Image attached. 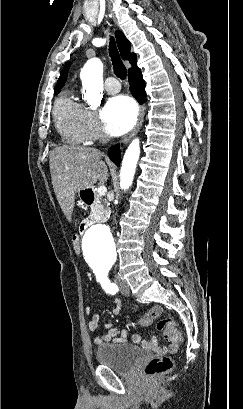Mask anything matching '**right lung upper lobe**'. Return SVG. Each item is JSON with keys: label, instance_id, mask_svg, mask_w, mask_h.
<instances>
[{"label": "right lung upper lobe", "instance_id": "right-lung-upper-lobe-1", "mask_svg": "<svg viewBox=\"0 0 243 409\" xmlns=\"http://www.w3.org/2000/svg\"><path fill=\"white\" fill-rule=\"evenodd\" d=\"M116 40H117V45L121 54V57L123 60H129L130 64L132 65V68L129 69V75L133 74L136 71H139L140 69L137 66V58L134 53L130 52V42L126 39L124 34L120 31L115 32ZM70 66V63L66 64V67L64 70L61 71L60 77L57 81V86L55 87V92L60 91L61 87L64 85L67 77V70Z\"/></svg>", "mask_w": 243, "mask_h": 409}]
</instances>
